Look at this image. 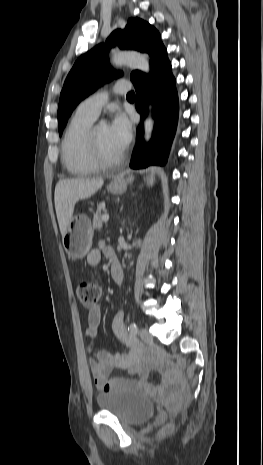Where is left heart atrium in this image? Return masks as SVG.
<instances>
[{"instance_id":"1","label":"left heart atrium","mask_w":263,"mask_h":465,"mask_svg":"<svg viewBox=\"0 0 263 465\" xmlns=\"http://www.w3.org/2000/svg\"><path fill=\"white\" fill-rule=\"evenodd\" d=\"M110 134L121 150H124L132 138V126L122 112H117L109 125Z\"/></svg>"}]
</instances>
